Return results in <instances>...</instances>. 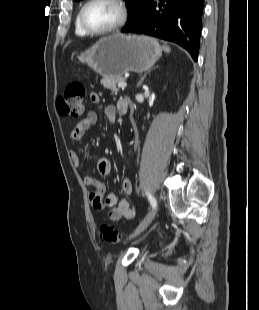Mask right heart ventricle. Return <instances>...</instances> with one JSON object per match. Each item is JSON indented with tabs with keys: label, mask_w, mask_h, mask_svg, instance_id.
<instances>
[{
	"label": "right heart ventricle",
	"mask_w": 259,
	"mask_h": 310,
	"mask_svg": "<svg viewBox=\"0 0 259 310\" xmlns=\"http://www.w3.org/2000/svg\"><path fill=\"white\" fill-rule=\"evenodd\" d=\"M75 33L76 35L78 36H81V37H84V36H87L88 34L82 29V27L80 26V23H79V19H78V15L76 16V19H75Z\"/></svg>",
	"instance_id": "e07e8e85"
}]
</instances>
